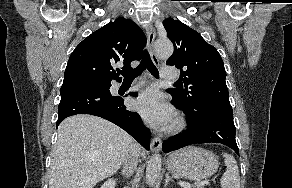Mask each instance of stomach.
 <instances>
[{
  "instance_id": "1",
  "label": "stomach",
  "mask_w": 292,
  "mask_h": 188,
  "mask_svg": "<svg viewBox=\"0 0 292 188\" xmlns=\"http://www.w3.org/2000/svg\"><path fill=\"white\" fill-rule=\"evenodd\" d=\"M219 166L218 157L211 151L189 146L171 153L166 168L184 179L201 180L213 175Z\"/></svg>"
}]
</instances>
